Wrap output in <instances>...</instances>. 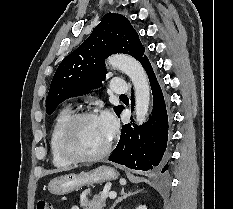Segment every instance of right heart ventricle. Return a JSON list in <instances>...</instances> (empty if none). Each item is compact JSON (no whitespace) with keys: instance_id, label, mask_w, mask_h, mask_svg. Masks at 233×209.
<instances>
[{"instance_id":"e07e8e85","label":"right heart ventricle","mask_w":233,"mask_h":209,"mask_svg":"<svg viewBox=\"0 0 233 209\" xmlns=\"http://www.w3.org/2000/svg\"><path fill=\"white\" fill-rule=\"evenodd\" d=\"M73 115L70 107L63 108L57 115L49 139L50 152L52 156V162L55 167L66 168L73 164V162L66 159L60 147L61 135L65 124L69 118Z\"/></svg>"}]
</instances>
